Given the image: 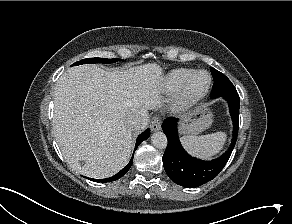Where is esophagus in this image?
<instances>
[{"instance_id":"esophagus-1","label":"esophagus","mask_w":292,"mask_h":224,"mask_svg":"<svg viewBox=\"0 0 292 224\" xmlns=\"http://www.w3.org/2000/svg\"><path fill=\"white\" fill-rule=\"evenodd\" d=\"M150 128L152 131H158L161 128V121L160 118L155 116L152 118L151 123H150Z\"/></svg>"}]
</instances>
